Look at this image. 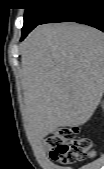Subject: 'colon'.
<instances>
[{
  "instance_id": "1",
  "label": "colon",
  "mask_w": 104,
  "mask_h": 169,
  "mask_svg": "<svg viewBox=\"0 0 104 169\" xmlns=\"http://www.w3.org/2000/svg\"><path fill=\"white\" fill-rule=\"evenodd\" d=\"M77 127H61L45 139L50 158L60 164L84 161L94 155L92 142L88 138H78Z\"/></svg>"
}]
</instances>
